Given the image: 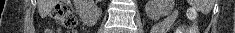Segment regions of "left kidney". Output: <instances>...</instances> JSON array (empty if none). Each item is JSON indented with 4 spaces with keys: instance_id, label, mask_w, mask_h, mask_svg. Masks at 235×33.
<instances>
[{
    "instance_id": "obj_1",
    "label": "left kidney",
    "mask_w": 235,
    "mask_h": 33,
    "mask_svg": "<svg viewBox=\"0 0 235 33\" xmlns=\"http://www.w3.org/2000/svg\"><path fill=\"white\" fill-rule=\"evenodd\" d=\"M175 5V0H148L145 5L147 16L152 20H159L160 17L171 13Z\"/></svg>"
}]
</instances>
